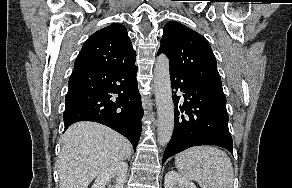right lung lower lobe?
Segmentation results:
<instances>
[{"mask_svg": "<svg viewBox=\"0 0 292 188\" xmlns=\"http://www.w3.org/2000/svg\"><path fill=\"white\" fill-rule=\"evenodd\" d=\"M135 63L128 67H75L68 82L63 120L94 121L125 136L134 150L141 135L140 94Z\"/></svg>", "mask_w": 292, "mask_h": 188, "instance_id": "1", "label": "right lung lower lobe"}]
</instances>
